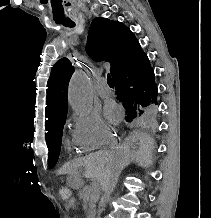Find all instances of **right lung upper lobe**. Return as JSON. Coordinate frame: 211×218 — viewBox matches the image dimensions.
Returning <instances> with one entry per match:
<instances>
[{
    "instance_id": "obj_1",
    "label": "right lung upper lobe",
    "mask_w": 211,
    "mask_h": 218,
    "mask_svg": "<svg viewBox=\"0 0 211 218\" xmlns=\"http://www.w3.org/2000/svg\"><path fill=\"white\" fill-rule=\"evenodd\" d=\"M86 51L96 61L109 62L113 76L120 66L140 55L142 48L134 34L122 23L95 18L89 29ZM73 72L74 68L67 58L60 59L51 70L47 83L46 135L57 121L66 116L68 84Z\"/></svg>"
}]
</instances>
